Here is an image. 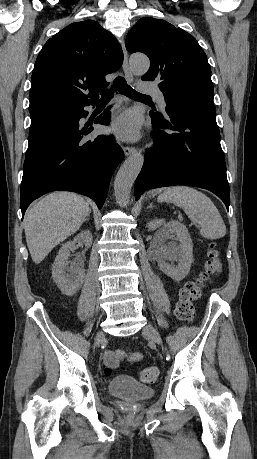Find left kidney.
Returning <instances> with one entry per match:
<instances>
[{
    "label": "left kidney",
    "instance_id": "5707ae66",
    "mask_svg": "<svg viewBox=\"0 0 257 459\" xmlns=\"http://www.w3.org/2000/svg\"><path fill=\"white\" fill-rule=\"evenodd\" d=\"M149 231L158 229L156 239L158 265L160 269L175 281L183 280L189 273L193 263V243L186 226L178 221L166 223L164 219H155L147 224ZM176 235L180 244H165L170 235ZM178 261L177 266H171L166 260Z\"/></svg>",
    "mask_w": 257,
    "mask_h": 459
}]
</instances>
